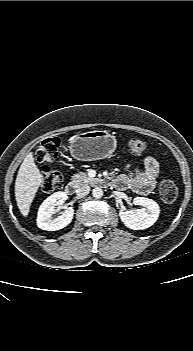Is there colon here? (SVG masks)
I'll list each match as a JSON object with an SVG mask.
<instances>
[{
  "label": "colon",
  "instance_id": "5ec220e1",
  "mask_svg": "<svg viewBox=\"0 0 193 351\" xmlns=\"http://www.w3.org/2000/svg\"><path fill=\"white\" fill-rule=\"evenodd\" d=\"M61 142L57 137H50L41 142L39 145L36 158L39 162H50L57 158L60 150ZM129 152L134 156L143 154L147 145L140 138H131L128 140ZM62 182V175L57 170H45L42 175L41 191L43 193H51L55 191ZM159 195L166 203H171L178 196V188L175 182L171 179H166L159 186Z\"/></svg>",
  "mask_w": 193,
  "mask_h": 351
}]
</instances>
